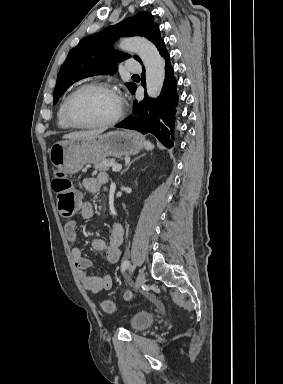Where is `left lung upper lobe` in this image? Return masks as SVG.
<instances>
[{
	"label": "left lung upper lobe",
	"mask_w": 283,
	"mask_h": 384,
	"mask_svg": "<svg viewBox=\"0 0 283 384\" xmlns=\"http://www.w3.org/2000/svg\"><path fill=\"white\" fill-rule=\"evenodd\" d=\"M120 36H143L152 41L157 49L164 43L161 40L160 30L154 23L153 15L148 11H141L132 18H127L120 23L107 27L104 30L83 38L79 44L70 50L57 77L54 89V100L59 97L69 86L85 77L115 73L116 62L123 61L130 56L113 50L112 45ZM134 58L142 63L138 56ZM133 93L136 89L134 83L126 84Z\"/></svg>",
	"instance_id": "left-lung-upper-lobe-1"
}]
</instances>
